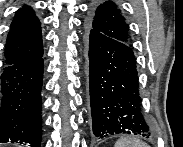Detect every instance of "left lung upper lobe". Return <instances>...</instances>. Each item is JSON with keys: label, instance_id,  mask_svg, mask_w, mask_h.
Instances as JSON below:
<instances>
[{"label": "left lung upper lobe", "instance_id": "left-lung-upper-lobe-1", "mask_svg": "<svg viewBox=\"0 0 183 147\" xmlns=\"http://www.w3.org/2000/svg\"><path fill=\"white\" fill-rule=\"evenodd\" d=\"M88 28L129 44L128 24L112 1H106L98 6L95 15L88 20Z\"/></svg>", "mask_w": 183, "mask_h": 147}]
</instances>
